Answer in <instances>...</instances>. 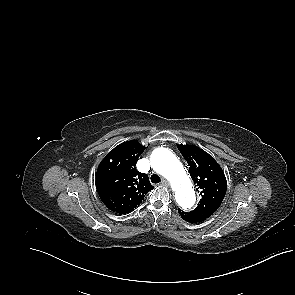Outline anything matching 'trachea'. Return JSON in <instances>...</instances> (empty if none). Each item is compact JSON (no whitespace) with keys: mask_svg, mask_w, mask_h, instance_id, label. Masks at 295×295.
<instances>
[{"mask_svg":"<svg viewBox=\"0 0 295 295\" xmlns=\"http://www.w3.org/2000/svg\"><path fill=\"white\" fill-rule=\"evenodd\" d=\"M150 179H151L152 183H160L161 182V178L156 174L151 175Z\"/></svg>","mask_w":295,"mask_h":295,"instance_id":"1","label":"trachea"}]
</instances>
